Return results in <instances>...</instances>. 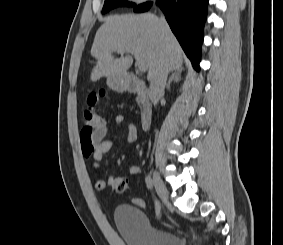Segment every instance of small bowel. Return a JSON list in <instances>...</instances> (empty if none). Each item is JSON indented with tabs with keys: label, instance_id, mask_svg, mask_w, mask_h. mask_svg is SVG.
<instances>
[{
	"label": "small bowel",
	"instance_id": "c3829d8e",
	"mask_svg": "<svg viewBox=\"0 0 283 245\" xmlns=\"http://www.w3.org/2000/svg\"><path fill=\"white\" fill-rule=\"evenodd\" d=\"M115 123L118 126H124L127 128V142L133 143L138 139L137 127L133 123L129 122L125 116H116ZM107 134L108 127L105 123L91 129H85L83 127L80 131V145L82 153L86 158H90L93 161V165L96 169L99 168V164L103 156L108 153L114 145L124 143V140L107 139ZM140 172L141 168L138 165H133L127 170L129 175H137ZM115 178V175L110 176L107 180L103 178H95L94 187L100 191L105 190L108 187L113 186Z\"/></svg>",
	"mask_w": 283,
	"mask_h": 245
}]
</instances>
